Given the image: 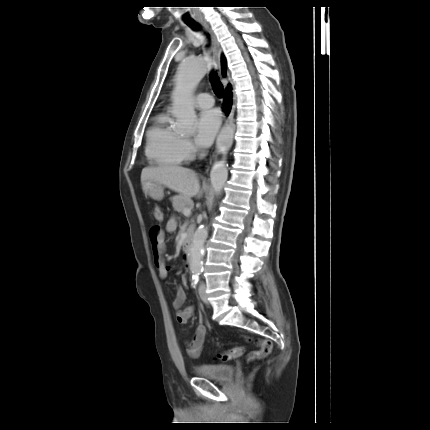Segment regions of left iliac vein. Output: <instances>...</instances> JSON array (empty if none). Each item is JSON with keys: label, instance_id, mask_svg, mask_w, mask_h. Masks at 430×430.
Wrapping results in <instances>:
<instances>
[{"label": "left iliac vein", "instance_id": "obj_1", "mask_svg": "<svg viewBox=\"0 0 430 430\" xmlns=\"http://www.w3.org/2000/svg\"><path fill=\"white\" fill-rule=\"evenodd\" d=\"M198 292H199V296H200L201 300L205 304H208V297H207V294H206V285H205L204 282L200 283Z\"/></svg>", "mask_w": 430, "mask_h": 430}]
</instances>
